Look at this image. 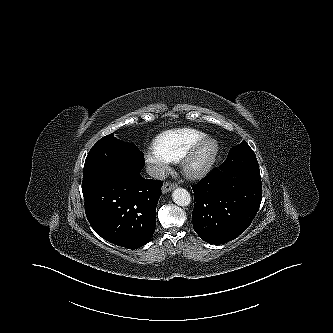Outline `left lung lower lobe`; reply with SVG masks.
Here are the masks:
<instances>
[{
  "label": "left lung lower lobe",
  "mask_w": 333,
  "mask_h": 333,
  "mask_svg": "<svg viewBox=\"0 0 333 333\" xmlns=\"http://www.w3.org/2000/svg\"><path fill=\"white\" fill-rule=\"evenodd\" d=\"M238 159L247 161L246 154ZM195 208L193 227L211 244H223L237 238L254 219L262 200L260 177L236 172L225 160L198 184L192 186Z\"/></svg>",
  "instance_id": "obj_1"
}]
</instances>
